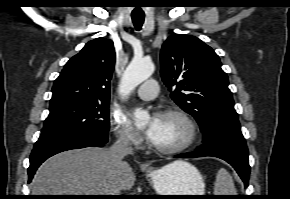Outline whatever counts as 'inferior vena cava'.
<instances>
[{
  "mask_svg": "<svg viewBox=\"0 0 290 199\" xmlns=\"http://www.w3.org/2000/svg\"><path fill=\"white\" fill-rule=\"evenodd\" d=\"M110 152L116 159L118 166L122 167L125 164L123 158L133 154L130 135L126 132H122L116 142L111 146ZM113 195H120V193L117 191L113 193Z\"/></svg>",
  "mask_w": 290,
  "mask_h": 199,
  "instance_id": "602c4592",
  "label": "inferior vena cava"
}]
</instances>
